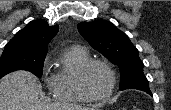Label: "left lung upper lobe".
<instances>
[{
	"label": "left lung upper lobe",
	"mask_w": 171,
	"mask_h": 110,
	"mask_svg": "<svg viewBox=\"0 0 171 110\" xmlns=\"http://www.w3.org/2000/svg\"><path fill=\"white\" fill-rule=\"evenodd\" d=\"M78 31L94 49L119 67L120 90L150 91L138 50L124 32L105 20L81 22L78 24Z\"/></svg>",
	"instance_id": "5c2ea615"
}]
</instances>
